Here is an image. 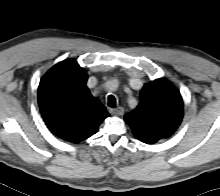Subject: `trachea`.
I'll return each mask as SVG.
<instances>
[{"label": "trachea", "mask_w": 220, "mask_h": 196, "mask_svg": "<svg viewBox=\"0 0 220 196\" xmlns=\"http://www.w3.org/2000/svg\"><path fill=\"white\" fill-rule=\"evenodd\" d=\"M108 106L111 108L116 107V98L113 95L108 96Z\"/></svg>", "instance_id": "trachea-1"}]
</instances>
